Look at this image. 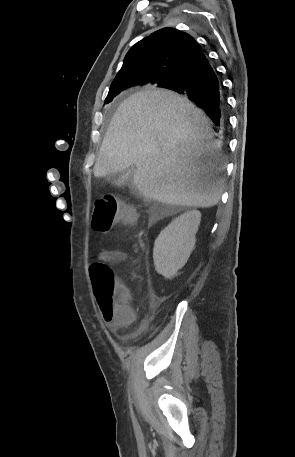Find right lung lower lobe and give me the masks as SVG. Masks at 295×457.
I'll list each match as a JSON object with an SVG mask.
<instances>
[{
	"instance_id": "1",
	"label": "right lung lower lobe",
	"mask_w": 295,
	"mask_h": 457,
	"mask_svg": "<svg viewBox=\"0 0 295 457\" xmlns=\"http://www.w3.org/2000/svg\"><path fill=\"white\" fill-rule=\"evenodd\" d=\"M159 87L186 95L206 112L216 126L225 124L226 100L223 85L205 54L191 60L175 79Z\"/></svg>"
}]
</instances>
